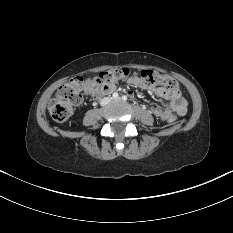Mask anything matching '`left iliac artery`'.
Returning a JSON list of instances; mask_svg holds the SVG:
<instances>
[{
  "mask_svg": "<svg viewBox=\"0 0 233 233\" xmlns=\"http://www.w3.org/2000/svg\"><path fill=\"white\" fill-rule=\"evenodd\" d=\"M122 100L126 101L127 100V96L123 95L122 96Z\"/></svg>",
  "mask_w": 233,
  "mask_h": 233,
  "instance_id": "1",
  "label": "left iliac artery"
}]
</instances>
